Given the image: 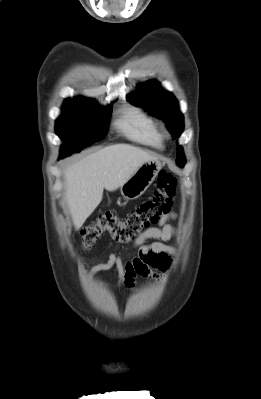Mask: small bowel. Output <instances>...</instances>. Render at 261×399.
Instances as JSON below:
<instances>
[{"label":"small bowel","instance_id":"1","mask_svg":"<svg viewBox=\"0 0 261 399\" xmlns=\"http://www.w3.org/2000/svg\"><path fill=\"white\" fill-rule=\"evenodd\" d=\"M175 219L174 213L165 215L159 225L151 227L144 231L134 242L137 250L135 256L127 261L115 254L110 253L105 262L99 263L89 270V275L107 271L116 268L118 271V282L115 287L125 286L128 289H134L136 278L151 277L154 280L161 281L163 275L155 270L162 272L169 271L172 265V257L176 255V248L166 244L177 235L176 228L170 223ZM148 240H155L147 243Z\"/></svg>","mask_w":261,"mask_h":399}]
</instances>
